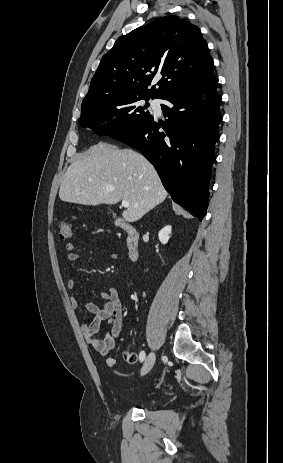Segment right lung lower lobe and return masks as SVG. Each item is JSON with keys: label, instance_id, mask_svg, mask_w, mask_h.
I'll list each match as a JSON object with an SVG mask.
<instances>
[{"label": "right lung lower lobe", "instance_id": "right-lung-lower-lobe-1", "mask_svg": "<svg viewBox=\"0 0 283 463\" xmlns=\"http://www.w3.org/2000/svg\"><path fill=\"white\" fill-rule=\"evenodd\" d=\"M218 78L182 87L162 97L166 124L152 116L138 128L114 136L140 150L157 170L163 186L177 204L200 221L206 214L214 145L222 120ZM162 129L164 131H162Z\"/></svg>", "mask_w": 283, "mask_h": 463}]
</instances>
